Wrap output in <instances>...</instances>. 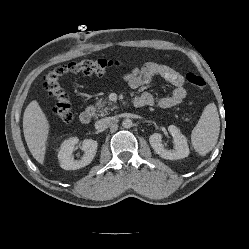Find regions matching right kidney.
<instances>
[{
    "label": "right kidney",
    "instance_id": "1",
    "mask_svg": "<svg viewBox=\"0 0 249 249\" xmlns=\"http://www.w3.org/2000/svg\"><path fill=\"white\" fill-rule=\"evenodd\" d=\"M79 139L76 137H72L68 140H65L58 152V159L60 162V166L65 170H76L82 167L87 166L93 160L96 152H97V141L92 139H85L82 142V147L85 151L84 155L80 160H74L72 157V153L74 151L75 145L78 144Z\"/></svg>",
    "mask_w": 249,
    "mask_h": 249
}]
</instances>
